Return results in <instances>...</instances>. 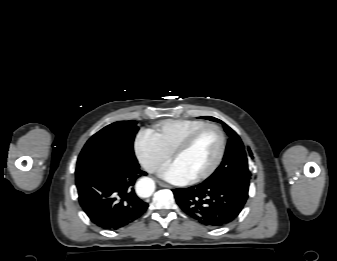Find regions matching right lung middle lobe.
Masks as SVG:
<instances>
[{
    "mask_svg": "<svg viewBox=\"0 0 337 261\" xmlns=\"http://www.w3.org/2000/svg\"><path fill=\"white\" fill-rule=\"evenodd\" d=\"M136 124V121H119L94 134L78 157L75 174L78 175L111 158H123L137 163L133 150L135 134L139 129Z\"/></svg>",
    "mask_w": 337,
    "mask_h": 261,
    "instance_id": "1",
    "label": "right lung middle lobe"
}]
</instances>
